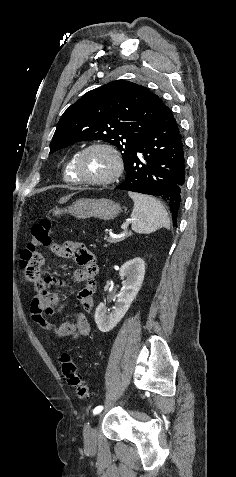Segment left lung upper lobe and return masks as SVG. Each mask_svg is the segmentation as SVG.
<instances>
[{"mask_svg":"<svg viewBox=\"0 0 236 477\" xmlns=\"http://www.w3.org/2000/svg\"><path fill=\"white\" fill-rule=\"evenodd\" d=\"M160 98L146 87L117 80L87 92L62 115L50 154L83 140H103L122 153L124 168L155 125Z\"/></svg>","mask_w":236,"mask_h":477,"instance_id":"left-lung-upper-lobe-1","label":"left lung upper lobe"}]
</instances>
